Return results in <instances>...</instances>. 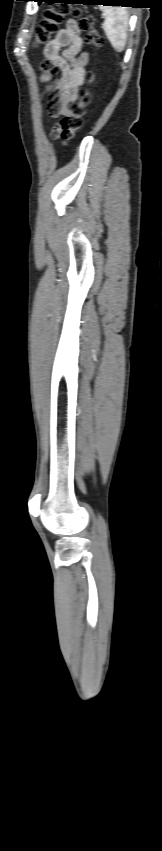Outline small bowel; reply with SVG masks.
Returning a JSON list of instances; mask_svg holds the SVG:
<instances>
[{
    "label": "small bowel",
    "mask_w": 162,
    "mask_h": 851,
    "mask_svg": "<svg viewBox=\"0 0 162 851\" xmlns=\"http://www.w3.org/2000/svg\"><path fill=\"white\" fill-rule=\"evenodd\" d=\"M42 54L45 60L40 68L45 72L40 81L45 84L46 91H56L49 100V113L53 117L65 115L84 82L88 60L87 54L82 51V39L76 21L67 20L65 27L43 48ZM49 71L57 73L53 85ZM54 130L53 137L58 138Z\"/></svg>",
    "instance_id": "1"
}]
</instances>
